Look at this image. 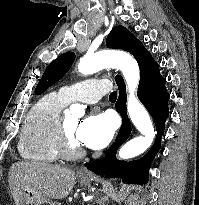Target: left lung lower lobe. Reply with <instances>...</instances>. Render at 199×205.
Wrapping results in <instances>:
<instances>
[{"label":"left lung lower lobe","instance_id":"0a47b994","mask_svg":"<svg viewBox=\"0 0 199 205\" xmlns=\"http://www.w3.org/2000/svg\"><path fill=\"white\" fill-rule=\"evenodd\" d=\"M126 51L136 58L140 67L138 98L154 119L157 129L155 143L146 155L139 160L125 162L116 159L117 149L131 133V123L126 114V88L123 78L117 76L115 80L119 89V98L116 102V110L123 118L122 126L113 147L105 157L95 160L91 164H85V166L100 176L121 178L126 183L146 184L148 182V163L154 159L161 147V136L164 132L165 121L169 115V94L165 88V79L160 75L159 65L153 60L142 43L134 38Z\"/></svg>","mask_w":199,"mask_h":205}]
</instances>
